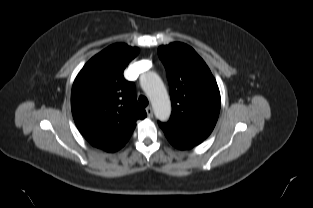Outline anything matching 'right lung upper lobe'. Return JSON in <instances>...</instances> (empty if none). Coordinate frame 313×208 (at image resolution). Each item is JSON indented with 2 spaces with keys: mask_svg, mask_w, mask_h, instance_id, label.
Returning <instances> with one entry per match:
<instances>
[{
  "mask_svg": "<svg viewBox=\"0 0 313 208\" xmlns=\"http://www.w3.org/2000/svg\"><path fill=\"white\" fill-rule=\"evenodd\" d=\"M138 53V48L113 44L92 57L73 83V118L93 146L123 147L136 121L147 116L136 100L134 83L123 76L125 67Z\"/></svg>",
  "mask_w": 313,
  "mask_h": 208,
  "instance_id": "right-lung-upper-lobe-1",
  "label": "right lung upper lobe"
}]
</instances>
